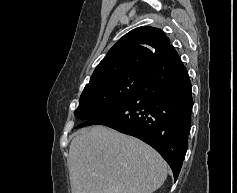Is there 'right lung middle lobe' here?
<instances>
[{
  "label": "right lung middle lobe",
  "instance_id": "1",
  "mask_svg": "<svg viewBox=\"0 0 237 193\" xmlns=\"http://www.w3.org/2000/svg\"><path fill=\"white\" fill-rule=\"evenodd\" d=\"M144 76L142 73H131L86 85L75 116L87 121L119 107L140 88Z\"/></svg>",
  "mask_w": 237,
  "mask_h": 193
}]
</instances>
